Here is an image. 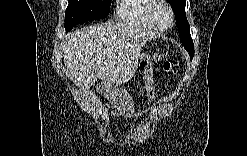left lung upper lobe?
Here are the masks:
<instances>
[{"label":"left lung upper lobe","mask_w":247,"mask_h":156,"mask_svg":"<svg viewBox=\"0 0 247 156\" xmlns=\"http://www.w3.org/2000/svg\"><path fill=\"white\" fill-rule=\"evenodd\" d=\"M175 13L176 25L179 37L184 48L189 52L190 58L194 56V44L190 35V25L186 19L185 5L186 0H168Z\"/></svg>","instance_id":"left-lung-upper-lobe-1"}]
</instances>
